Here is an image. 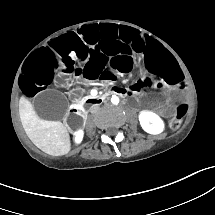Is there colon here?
<instances>
[{"mask_svg": "<svg viewBox=\"0 0 215 215\" xmlns=\"http://www.w3.org/2000/svg\"><path fill=\"white\" fill-rule=\"evenodd\" d=\"M187 112H188L187 104L178 105L170 122L171 127L178 128L181 125L182 120Z\"/></svg>", "mask_w": 215, "mask_h": 215, "instance_id": "colon-1", "label": "colon"}]
</instances>
